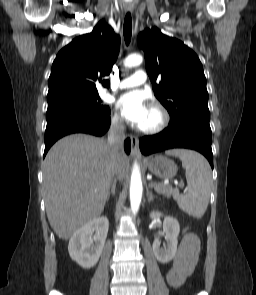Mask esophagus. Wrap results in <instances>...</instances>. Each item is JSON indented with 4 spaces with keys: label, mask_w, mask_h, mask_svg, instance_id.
<instances>
[{
    "label": "esophagus",
    "mask_w": 256,
    "mask_h": 295,
    "mask_svg": "<svg viewBox=\"0 0 256 295\" xmlns=\"http://www.w3.org/2000/svg\"><path fill=\"white\" fill-rule=\"evenodd\" d=\"M132 9L133 7L131 4H127L125 6L126 12H130L132 11ZM130 141H131V154L134 156H140L139 148H138V143H139L138 138L136 136H131Z\"/></svg>",
    "instance_id": "esophagus-1"
}]
</instances>
